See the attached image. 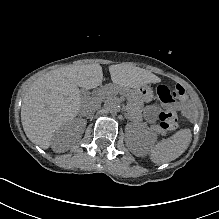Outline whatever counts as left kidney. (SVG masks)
Returning a JSON list of instances; mask_svg holds the SVG:
<instances>
[{
  "label": "left kidney",
  "instance_id": "1",
  "mask_svg": "<svg viewBox=\"0 0 219 219\" xmlns=\"http://www.w3.org/2000/svg\"><path fill=\"white\" fill-rule=\"evenodd\" d=\"M136 138H137V144L140 143L141 146H144L148 142L149 143L156 142L157 134L156 133L137 132Z\"/></svg>",
  "mask_w": 219,
  "mask_h": 219
}]
</instances>
